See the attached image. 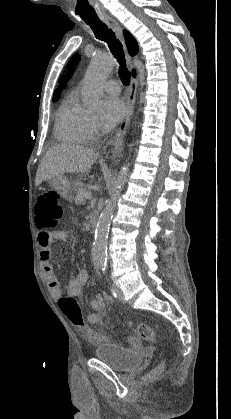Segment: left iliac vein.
I'll return each instance as SVG.
<instances>
[{"instance_id":"1","label":"left iliac vein","mask_w":231,"mask_h":419,"mask_svg":"<svg viewBox=\"0 0 231 419\" xmlns=\"http://www.w3.org/2000/svg\"><path fill=\"white\" fill-rule=\"evenodd\" d=\"M113 289L117 292L119 301L122 302V303H125L124 294L120 290V288L118 286H116L115 284H113Z\"/></svg>"}]
</instances>
